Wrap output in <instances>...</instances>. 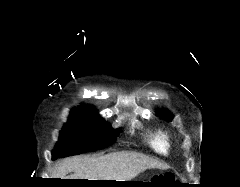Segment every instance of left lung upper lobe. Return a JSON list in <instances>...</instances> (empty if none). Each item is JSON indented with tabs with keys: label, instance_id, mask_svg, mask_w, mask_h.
<instances>
[{
	"label": "left lung upper lobe",
	"instance_id": "left-lung-upper-lobe-1",
	"mask_svg": "<svg viewBox=\"0 0 240 187\" xmlns=\"http://www.w3.org/2000/svg\"><path fill=\"white\" fill-rule=\"evenodd\" d=\"M157 115L168 121H171L173 118V115L170 112L161 111L158 112Z\"/></svg>",
	"mask_w": 240,
	"mask_h": 187
}]
</instances>
